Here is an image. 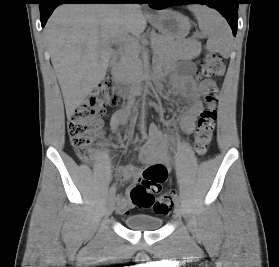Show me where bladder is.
Instances as JSON below:
<instances>
[{"label":"bladder","mask_w":279,"mask_h":267,"mask_svg":"<svg viewBox=\"0 0 279 267\" xmlns=\"http://www.w3.org/2000/svg\"><path fill=\"white\" fill-rule=\"evenodd\" d=\"M125 226L135 231H156L161 228L163 220L144 214L129 215L124 218Z\"/></svg>","instance_id":"1"}]
</instances>
